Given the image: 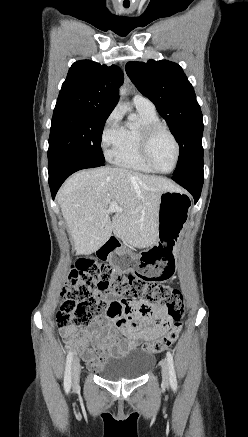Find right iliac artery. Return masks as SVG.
Here are the masks:
<instances>
[{
	"mask_svg": "<svg viewBox=\"0 0 248 437\" xmlns=\"http://www.w3.org/2000/svg\"><path fill=\"white\" fill-rule=\"evenodd\" d=\"M73 360V352H69L66 360V368L64 375V389L68 393L71 388V364Z\"/></svg>",
	"mask_w": 248,
	"mask_h": 437,
	"instance_id": "obj_1",
	"label": "right iliac artery"
}]
</instances>
